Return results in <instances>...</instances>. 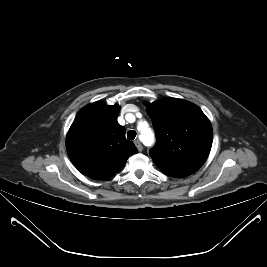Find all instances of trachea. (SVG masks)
Here are the masks:
<instances>
[{
  "instance_id": "3493384b",
  "label": "trachea",
  "mask_w": 267,
  "mask_h": 267,
  "mask_svg": "<svg viewBox=\"0 0 267 267\" xmlns=\"http://www.w3.org/2000/svg\"><path fill=\"white\" fill-rule=\"evenodd\" d=\"M136 137V132L134 130H129L127 132V139L134 140Z\"/></svg>"
}]
</instances>
